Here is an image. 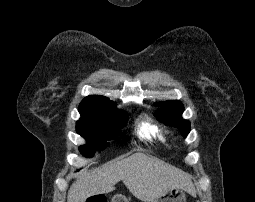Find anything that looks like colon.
<instances>
[{
	"label": "colon",
	"instance_id": "obj_1",
	"mask_svg": "<svg viewBox=\"0 0 255 202\" xmlns=\"http://www.w3.org/2000/svg\"><path fill=\"white\" fill-rule=\"evenodd\" d=\"M86 202H106V200L99 197H91Z\"/></svg>",
	"mask_w": 255,
	"mask_h": 202
}]
</instances>
